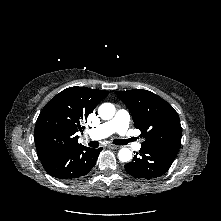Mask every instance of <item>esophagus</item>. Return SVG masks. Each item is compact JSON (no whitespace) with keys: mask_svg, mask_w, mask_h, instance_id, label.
Returning a JSON list of instances; mask_svg holds the SVG:
<instances>
[{"mask_svg":"<svg viewBox=\"0 0 221 221\" xmlns=\"http://www.w3.org/2000/svg\"><path fill=\"white\" fill-rule=\"evenodd\" d=\"M108 147L112 148V149H119L120 148V146L114 145V144H108Z\"/></svg>","mask_w":221,"mask_h":221,"instance_id":"1","label":"esophagus"}]
</instances>
